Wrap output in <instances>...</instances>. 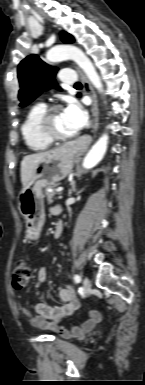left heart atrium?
<instances>
[{
	"instance_id": "left-heart-atrium-1",
	"label": "left heart atrium",
	"mask_w": 145,
	"mask_h": 385,
	"mask_svg": "<svg viewBox=\"0 0 145 385\" xmlns=\"http://www.w3.org/2000/svg\"><path fill=\"white\" fill-rule=\"evenodd\" d=\"M63 115L74 131H79L86 125L87 114L82 106L75 100L68 101L63 110Z\"/></svg>"
}]
</instances>
